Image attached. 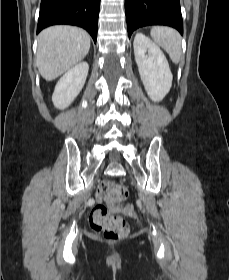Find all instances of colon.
<instances>
[{
    "label": "colon",
    "mask_w": 229,
    "mask_h": 280,
    "mask_svg": "<svg viewBox=\"0 0 229 280\" xmlns=\"http://www.w3.org/2000/svg\"><path fill=\"white\" fill-rule=\"evenodd\" d=\"M101 194L108 202L119 204L128 196V189L120 183L105 180L101 184ZM90 223L93 229L101 231L106 238L122 237L129 231L124 218L111 214L104 205H97L91 210Z\"/></svg>",
    "instance_id": "1"
}]
</instances>
